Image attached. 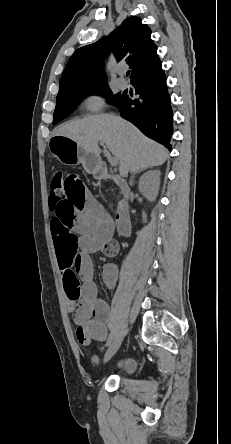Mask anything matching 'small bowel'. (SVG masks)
<instances>
[{"label": "small bowel", "instance_id": "1", "mask_svg": "<svg viewBox=\"0 0 231 444\" xmlns=\"http://www.w3.org/2000/svg\"><path fill=\"white\" fill-rule=\"evenodd\" d=\"M65 188L64 198L50 199L54 213L51 233L76 338L80 344L88 345L107 339L110 320V308L99 298L93 281L90 255L101 252L113 257L119 247L112 238L110 219L80 177H66ZM102 278L106 286L113 288L118 278L117 267L104 265Z\"/></svg>", "mask_w": 231, "mask_h": 444}]
</instances>
